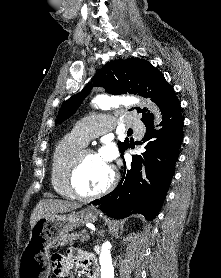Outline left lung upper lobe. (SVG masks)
<instances>
[{"mask_svg":"<svg viewBox=\"0 0 221 278\" xmlns=\"http://www.w3.org/2000/svg\"><path fill=\"white\" fill-rule=\"evenodd\" d=\"M83 90L68 99L61 107L56 124H60L69 118L80 106L84 98L90 93L93 86L103 87L111 94H139L150 97L164 114L178 98L171 85L167 83L164 75L151 63L144 59L129 58L126 60L111 61L92 78ZM141 113V120L153 121V114L145 108H136ZM120 152L123 154L129 147V141L118 142Z\"/></svg>","mask_w":221,"mask_h":278,"instance_id":"1","label":"left lung upper lobe"}]
</instances>
